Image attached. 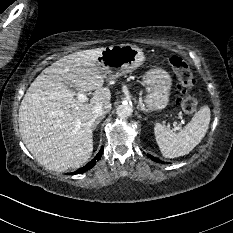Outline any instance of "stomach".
Here are the masks:
<instances>
[{"label":"stomach","mask_w":233,"mask_h":233,"mask_svg":"<svg viewBox=\"0 0 233 233\" xmlns=\"http://www.w3.org/2000/svg\"><path fill=\"white\" fill-rule=\"evenodd\" d=\"M145 61L143 50L132 44L105 47L99 58L98 67L107 79H116L131 73ZM143 84L148 89L145 103L150 110H162L169 102L172 85L170 74L162 68H152L143 76Z\"/></svg>","instance_id":"1"}]
</instances>
